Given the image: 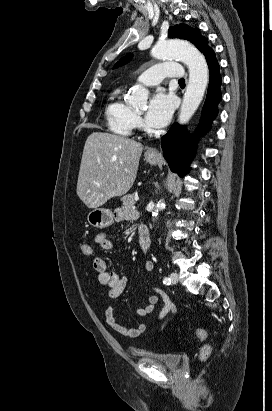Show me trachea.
I'll list each match as a JSON object with an SVG mask.
<instances>
[{
	"label": "trachea",
	"mask_w": 272,
	"mask_h": 411,
	"mask_svg": "<svg viewBox=\"0 0 272 411\" xmlns=\"http://www.w3.org/2000/svg\"><path fill=\"white\" fill-rule=\"evenodd\" d=\"M179 83L185 84V80L184 79H179L178 81Z\"/></svg>",
	"instance_id": "trachea-1"
}]
</instances>
